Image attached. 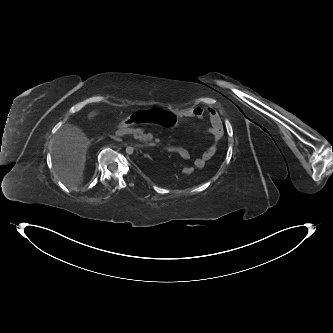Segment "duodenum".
I'll use <instances>...</instances> for the list:
<instances>
[{"label":"duodenum","instance_id":"duodenum-1","mask_svg":"<svg viewBox=\"0 0 333 333\" xmlns=\"http://www.w3.org/2000/svg\"><path fill=\"white\" fill-rule=\"evenodd\" d=\"M133 132H134V131H133L131 128H124V129H119L117 133H118L119 135H120V134H123V133H124V134H128V135H129V134L131 135Z\"/></svg>","mask_w":333,"mask_h":333}]
</instances>
